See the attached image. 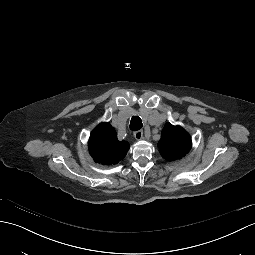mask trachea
Instances as JSON below:
<instances>
[{
	"label": "trachea",
	"instance_id": "trachea-1",
	"mask_svg": "<svg viewBox=\"0 0 255 255\" xmlns=\"http://www.w3.org/2000/svg\"><path fill=\"white\" fill-rule=\"evenodd\" d=\"M143 126L142 124V120L139 116L135 115V116H132L131 118V122H130V129L132 131H138L139 129H141Z\"/></svg>",
	"mask_w": 255,
	"mask_h": 255
}]
</instances>
